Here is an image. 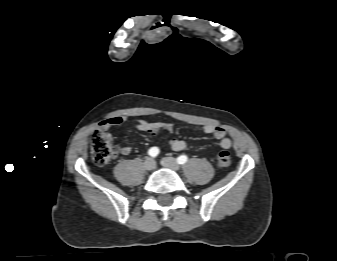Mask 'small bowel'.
Wrapping results in <instances>:
<instances>
[{"mask_svg":"<svg viewBox=\"0 0 337 261\" xmlns=\"http://www.w3.org/2000/svg\"><path fill=\"white\" fill-rule=\"evenodd\" d=\"M124 122V119L120 116H114L109 119H106L102 121L99 126L102 129H107L110 127H117L122 125ZM133 128H135L138 131L146 132L152 135L159 134L161 132H168L172 133L174 126L171 123H164V122H150L146 120H138L134 125ZM202 130L204 133L212 135L218 142V145L223 149H229L232 146V141L230 138L227 137L226 130L219 125H213V124H206L202 127ZM170 145L173 150L175 151H182L185 150L188 146L187 142L178 139V138H172L170 141ZM132 151V148L128 145L122 146L119 148V153L123 155H128Z\"/></svg>","mask_w":337,"mask_h":261,"instance_id":"c3829d8e","label":"small bowel"}]
</instances>
